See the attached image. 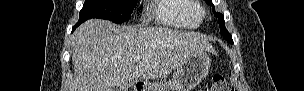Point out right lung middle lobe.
<instances>
[{"label":"right lung middle lobe","instance_id":"1","mask_svg":"<svg viewBox=\"0 0 304 91\" xmlns=\"http://www.w3.org/2000/svg\"><path fill=\"white\" fill-rule=\"evenodd\" d=\"M136 3L137 0H86L79 21L100 18L119 24L131 18Z\"/></svg>","mask_w":304,"mask_h":91}]
</instances>
